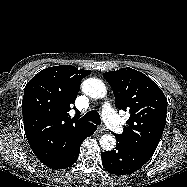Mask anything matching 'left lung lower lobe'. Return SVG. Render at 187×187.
<instances>
[{"mask_svg": "<svg viewBox=\"0 0 187 187\" xmlns=\"http://www.w3.org/2000/svg\"><path fill=\"white\" fill-rule=\"evenodd\" d=\"M116 140L117 144L114 150L101 153L102 164L111 174H131L152 157L149 153L126 147L118 137H116Z\"/></svg>", "mask_w": 187, "mask_h": 187, "instance_id": "0a47b994", "label": "left lung lower lobe"}]
</instances>
